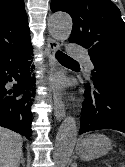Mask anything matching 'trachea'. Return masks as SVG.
I'll use <instances>...</instances> for the list:
<instances>
[{
    "instance_id": "trachea-1",
    "label": "trachea",
    "mask_w": 125,
    "mask_h": 167,
    "mask_svg": "<svg viewBox=\"0 0 125 167\" xmlns=\"http://www.w3.org/2000/svg\"><path fill=\"white\" fill-rule=\"evenodd\" d=\"M56 58L60 61V62H76L75 60H73L72 58H70L69 56H67L66 54H64L61 51H58L56 53Z\"/></svg>"
}]
</instances>
